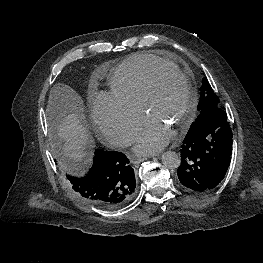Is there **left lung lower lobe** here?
<instances>
[{
	"label": "left lung lower lobe",
	"instance_id": "0a47b994",
	"mask_svg": "<svg viewBox=\"0 0 263 263\" xmlns=\"http://www.w3.org/2000/svg\"><path fill=\"white\" fill-rule=\"evenodd\" d=\"M180 152V182L196 192L215 188L231 162L232 130L225 112L215 109L194 131H188Z\"/></svg>",
	"mask_w": 263,
	"mask_h": 263
}]
</instances>
